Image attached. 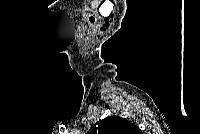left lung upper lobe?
Listing matches in <instances>:
<instances>
[{
  "mask_svg": "<svg viewBox=\"0 0 200 134\" xmlns=\"http://www.w3.org/2000/svg\"><path fill=\"white\" fill-rule=\"evenodd\" d=\"M87 134H141V131L124 118L108 116L95 123Z\"/></svg>",
  "mask_w": 200,
  "mask_h": 134,
  "instance_id": "obj_1",
  "label": "left lung upper lobe"
}]
</instances>
